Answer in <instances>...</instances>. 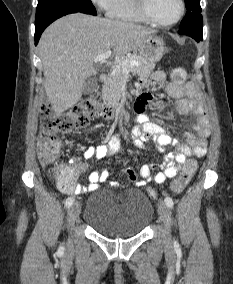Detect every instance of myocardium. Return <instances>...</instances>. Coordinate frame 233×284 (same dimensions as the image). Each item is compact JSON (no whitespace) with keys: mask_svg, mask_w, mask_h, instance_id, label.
I'll return each mask as SVG.
<instances>
[{"mask_svg":"<svg viewBox=\"0 0 233 284\" xmlns=\"http://www.w3.org/2000/svg\"><path fill=\"white\" fill-rule=\"evenodd\" d=\"M179 5H180V10L178 16L170 21V22H160L158 21L150 12L149 9V1L148 0H137V7L140 11V13L143 15V17L149 21L150 23L159 26V27H170L175 24H177L183 17L185 13V2L184 0H178Z\"/></svg>","mask_w":233,"mask_h":284,"instance_id":"obj_1","label":"myocardium"}]
</instances>
